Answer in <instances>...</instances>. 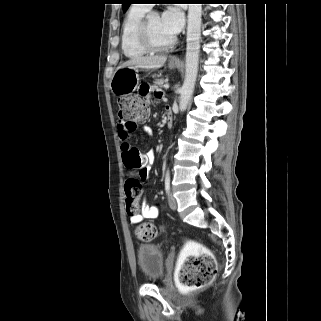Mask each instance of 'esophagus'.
I'll return each mask as SVG.
<instances>
[{"label":"esophagus","instance_id":"34e87169","mask_svg":"<svg viewBox=\"0 0 321 321\" xmlns=\"http://www.w3.org/2000/svg\"><path fill=\"white\" fill-rule=\"evenodd\" d=\"M171 60L177 62V61H179V58L177 56H174V57H172Z\"/></svg>","mask_w":321,"mask_h":321}]
</instances>
